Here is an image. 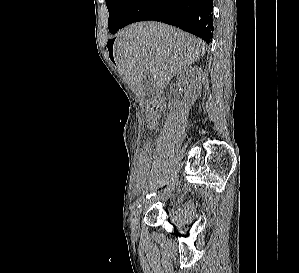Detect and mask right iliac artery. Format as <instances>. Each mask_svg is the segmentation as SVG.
Wrapping results in <instances>:
<instances>
[{
    "mask_svg": "<svg viewBox=\"0 0 299 273\" xmlns=\"http://www.w3.org/2000/svg\"><path fill=\"white\" fill-rule=\"evenodd\" d=\"M152 195H155V193L147 195L146 197H144V196L140 197L139 199L136 200L135 205L139 206L143 202V200H145V198H150V196H152Z\"/></svg>",
    "mask_w": 299,
    "mask_h": 273,
    "instance_id": "right-iliac-artery-1",
    "label": "right iliac artery"
}]
</instances>
